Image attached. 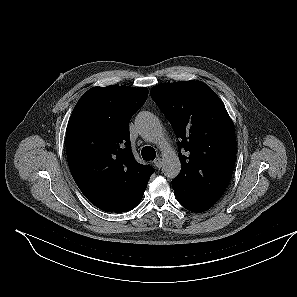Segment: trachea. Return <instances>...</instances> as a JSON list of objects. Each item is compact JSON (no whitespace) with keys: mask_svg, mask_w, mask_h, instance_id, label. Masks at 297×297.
<instances>
[{"mask_svg":"<svg viewBox=\"0 0 297 297\" xmlns=\"http://www.w3.org/2000/svg\"><path fill=\"white\" fill-rule=\"evenodd\" d=\"M141 155L143 160H154L156 157V152L154 150V148L150 147V146H145L142 150H141Z\"/></svg>","mask_w":297,"mask_h":297,"instance_id":"trachea-1","label":"trachea"}]
</instances>
